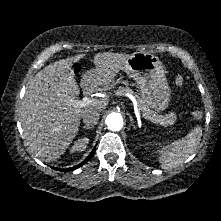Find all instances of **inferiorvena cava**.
Wrapping results in <instances>:
<instances>
[{"mask_svg":"<svg viewBox=\"0 0 221 221\" xmlns=\"http://www.w3.org/2000/svg\"><path fill=\"white\" fill-rule=\"evenodd\" d=\"M83 122L87 126H93L95 125L99 120V113L95 110H91L83 115Z\"/></svg>","mask_w":221,"mask_h":221,"instance_id":"602c4592","label":"inferior vena cava"}]
</instances>
